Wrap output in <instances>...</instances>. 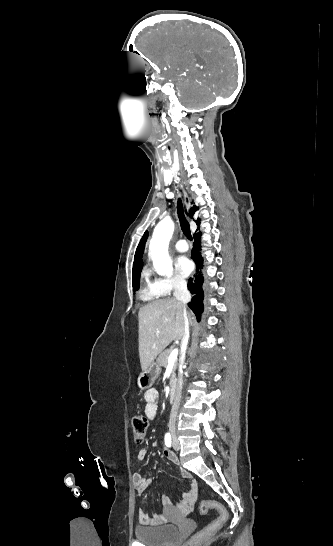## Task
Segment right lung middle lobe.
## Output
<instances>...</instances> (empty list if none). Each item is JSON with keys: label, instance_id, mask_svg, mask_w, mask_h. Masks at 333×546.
<instances>
[{"label": "right lung middle lobe", "instance_id": "1", "mask_svg": "<svg viewBox=\"0 0 333 546\" xmlns=\"http://www.w3.org/2000/svg\"><path fill=\"white\" fill-rule=\"evenodd\" d=\"M134 283H133V290H138L139 288V285H140V279H139V273H137L136 271L134 272Z\"/></svg>", "mask_w": 333, "mask_h": 546}]
</instances>
